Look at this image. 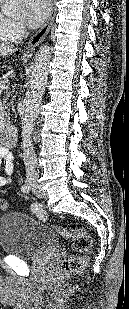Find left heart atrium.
I'll return each instance as SVG.
<instances>
[{
	"instance_id": "1",
	"label": "left heart atrium",
	"mask_w": 129,
	"mask_h": 309,
	"mask_svg": "<svg viewBox=\"0 0 129 309\" xmlns=\"http://www.w3.org/2000/svg\"><path fill=\"white\" fill-rule=\"evenodd\" d=\"M50 0H24L23 18L31 28L40 26L50 12Z\"/></svg>"
}]
</instances>
